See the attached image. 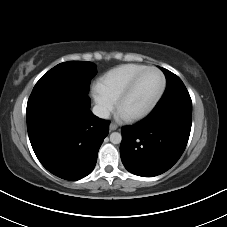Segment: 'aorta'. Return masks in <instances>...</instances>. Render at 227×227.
Masks as SVG:
<instances>
[{
    "label": "aorta",
    "instance_id": "1",
    "mask_svg": "<svg viewBox=\"0 0 227 227\" xmlns=\"http://www.w3.org/2000/svg\"><path fill=\"white\" fill-rule=\"evenodd\" d=\"M121 140H122V135L120 133H118V132L111 133L110 141L113 144H119V143H121Z\"/></svg>",
    "mask_w": 227,
    "mask_h": 227
}]
</instances>
